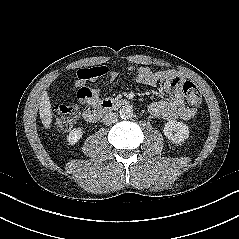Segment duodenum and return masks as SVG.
<instances>
[{
	"instance_id": "duodenum-1",
	"label": "duodenum",
	"mask_w": 239,
	"mask_h": 239,
	"mask_svg": "<svg viewBox=\"0 0 239 239\" xmlns=\"http://www.w3.org/2000/svg\"><path fill=\"white\" fill-rule=\"evenodd\" d=\"M124 104L125 101L122 99H104L97 106L86 109L83 112V117L89 123H96L108 112L118 109Z\"/></svg>"
}]
</instances>
